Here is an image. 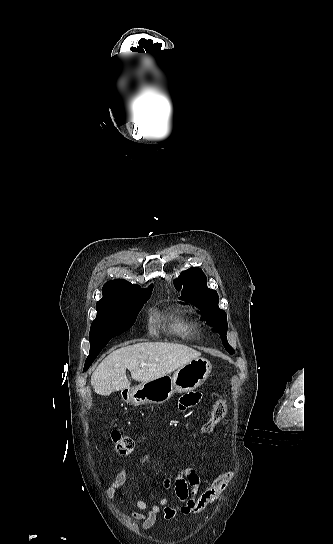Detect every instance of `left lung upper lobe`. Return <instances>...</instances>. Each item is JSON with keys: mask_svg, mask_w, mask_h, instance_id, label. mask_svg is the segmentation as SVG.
Returning <instances> with one entry per match:
<instances>
[{"mask_svg": "<svg viewBox=\"0 0 333 544\" xmlns=\"http://www.w3.org/2000/svg\"><path fill=\"white\" fill-rule=\"evenodd\" d=\"M181 299L188 301L205 311L204 320L214 327L219 333L225 349L233 354V348L228 344L227 316L224 310L218 307L219 297L215 290L209 289L206 285V276L200 268L192 267L181 273L174 282L175 288L179 291L182 287Z\"/></svg>", "mask_w": 333, "mask_h": 544, "instance_id": "obj_1", "label": "left lung upper lobe"}]
</instances>
